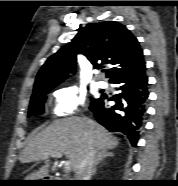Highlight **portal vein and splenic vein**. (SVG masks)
I'll return each instance as SVG.
<instances>
[{
    "instance_id": "18ae733b",
    "label": "portal vein and splenic vein",
    "mask_w": 178,
    "mask_h": 186,
    "mask_svg": "<svg viewBox=\"0 0 178 186\" xmlns=\"http://www.w3.org/2000/svg\"><path fill=\"white\" fill-rule=\"evenodd\" d=\"M46 156H51V157H55V158H61L63 155L60 152H51V153H47ZM64 171H65V173H69L71 171V163H70V161H65L64 162Z\"/></svg>"
}]
</instances>
